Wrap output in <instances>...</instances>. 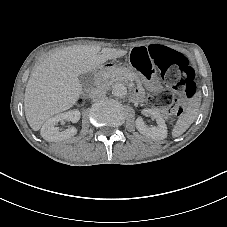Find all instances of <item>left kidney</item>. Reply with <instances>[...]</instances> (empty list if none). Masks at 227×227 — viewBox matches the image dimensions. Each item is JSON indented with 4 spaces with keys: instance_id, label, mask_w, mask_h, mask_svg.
Returning a JSON list of instances; mask_svg holds the SVG:
<instances>
[{
    "instance_id": "1",
    "label": "left kidney",
    "mask_w": 227,
    "mask_h": 227,
    "mask_svg": "<svg viewBox=\"0 0 227 227\" xmlns=\"http://www.w3.org/2000/svg\"><path fill=\"white\" fill-rule=\"evenodd\" d=\"M140 113L141 115H152L156 120L157 126L148 127L142 117H137L136 127L139 132L147 137L157 140L165 139L167 137V126L159 112L154 109L143 108L141 109Z\"/></svg>"
}]
</instances>
